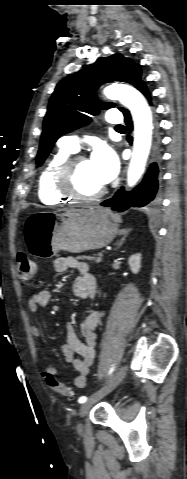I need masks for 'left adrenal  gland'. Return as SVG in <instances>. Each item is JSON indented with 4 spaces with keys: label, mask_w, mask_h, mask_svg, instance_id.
<instances>
[{
    "label": "left adrenal gland",
    "mask_w": 187,
    "mask_h": 479,
    "mask_svg": "<svg viewBox=\"0 0 187 479\" xmlns=\"http://www.w3.org/2000/svg\"><path fill=\"white\" fill-rule=\"evenodd\" d=\"M131 229H122L120 230V235H123L121 240L117 243V248L121 247L125 240H126V237L128 236V234L130 233Z\"/></svg>",
    "instance_id": "1"
}]
</instances>
